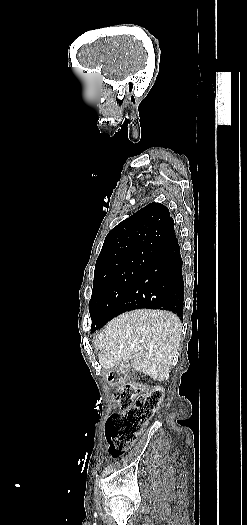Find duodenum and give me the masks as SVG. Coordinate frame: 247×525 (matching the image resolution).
<instances>
[{"label": "duodenum", "instance_id": "duodenum-1", "mask_svg": "<svg viewBox=\"0 0 247 525\" xmlns=\"http://www.w3.org/2000/svg\"><path fill=\"white\" fill-rule=\"evenodd\" d=\"M120 376H121L120 371H114L110 373L109 379L111 382H116Z\"/></svg>", "mask_w": 247, "mask_h": 525}]
</instances>
